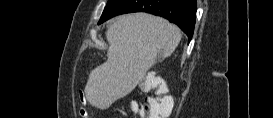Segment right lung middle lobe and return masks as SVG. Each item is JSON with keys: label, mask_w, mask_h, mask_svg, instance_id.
Segmentation results:
<instances>
[{"label": "right lung middle lobe", "mask_w": 273, "mask_h": 118, "mask_svg": "<svg viewBox=\"0 0 273 118\" xmlns=\"http://www.w3.org/2000/svg\"><path fill=\"white\" fill-rule=\"evenodd\" d=\"M121 0H108V3L102 13L101 19L108 17L111 14L112 9L120 2ZM100 19V20H101ZM99 24V23H98Z\"/></svg>", "instance_id": "1"}]
</instances>
